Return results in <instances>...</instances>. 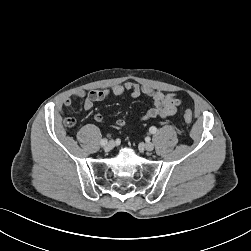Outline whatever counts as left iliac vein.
Returning a JSON list of instances; mask_svg holds the SVG:
<instances>
[{"label":"left iliac vein","instance_id":"4c4485c4","mask_svg":"<svg viewBox=\"0 0 251 251\" xmlns=\"http://www.w3.org/2000/svg\"><path fill=\"white\" fill-rule=\"evenodd\" d=\"M143 147L147 151H152L154 149V144L151 142H146L143 144Z\"/></svg>","mask_w":251,"mask_h":251}]
</instances>
